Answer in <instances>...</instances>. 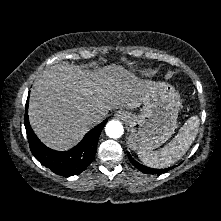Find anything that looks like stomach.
<instances>
[{
	"label": "stomach",
	"instance_id": "1",
	"mask_svg": "<svg viewBox=\"0 0 221 221\" xmlns=\"http://www.w3.org/2000/svg\"><path fill=\"white\" fill-rule=\"evenodd\" d=\"M139 114L125 111L129 126L128 145L132 150H153L165 143L177 127L181 107L179 93L169 84L150 82Z\"/></svg>",
	"mask_w": 221,
	"mask_h": 221
}]
</instances>
